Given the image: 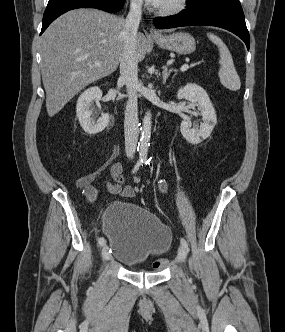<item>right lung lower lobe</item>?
Masks as SVG:
<instances>
[{"label": "right lung lower lobe", "instance_id": "obj_1", "mask_svg": "<svg viewBox=\"0 0 285 332\" xmlns=\"http://www.w3.org/2000/svg\"><path fill=\"white\" fill-rule=\"evenodd\" d=\"M125 0H49L43 16L41 33L60 15L76 8H96L106 12H117Z\"/></svg>", "mask_w": 285, "mask_h": 332}]
</instances>
